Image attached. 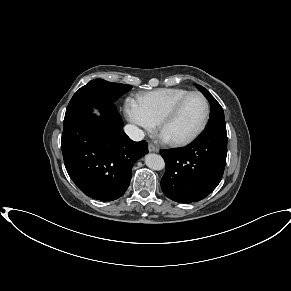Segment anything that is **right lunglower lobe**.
Segmentation results:
<instances>
[{
  "label": "right lung lower lobe",
  "mask_w": 291,
  "mask_h": 291,
  "mask_svg": "<svg viewBox=\"0 0 291 291\" xmlns=\"http://www.w3.org/2000/svg\"><path fill=\"white\" fill-rule=\"evenodd\" d=\"M81 120L64 121L61 148L66 170L87 196L112 201L127 190L133 164L148 153L145 141L134 142L124 133L114 104Z\"/></svg>",
  "instance_id": "obj_1"
}]
</instances>
